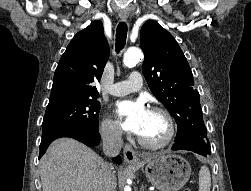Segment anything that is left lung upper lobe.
<instances>
[{"mask_svg":"<svg viewBox=\"0 0 251 191\" xmlns=\"http://www.w3.org/2000/svg\"><path fill=\"white\" fill-rule=\"evenodd\" d=\"M140 46L145 54L142 71L156 98L175 118V142L200 137L207 142L199 93L193 87L190 66L174 37L156 21L141 28Z\"/></svg>","mask_w":251,"mask_h":191,"instance_id":"left-lung-upper-lobe-1","label":"left lung upper lobe"}]
</instances>
